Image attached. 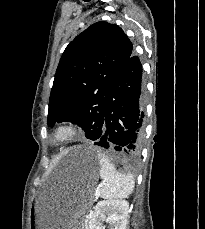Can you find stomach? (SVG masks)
I'll list each match as a JSON object with an SVG mask.
<instances>
[{"label":"stomach","mask_w":205,"mask_h":229,"mask_svg":"<svg viewBox=\"0 0 205 229\" xmlns=\"http://www.w3.org/2000/svg\"><path fill=\"white\" fill-rule=\"evenodd\" d=\"M78 153L83 172L84 190L80 199L71 207L65 195L38 197L29 212V229H82V220L91 203L93 186L98 177L99 159L94 150L77 147L70 152Z\"/></svg>","instance_id":"obj_1"}]
</instances>
